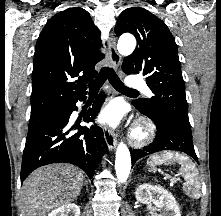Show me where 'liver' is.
Segmentation results:
<instances>
[{"instance_id": "1", "label": "liver", "mask_w": 221, "mask_h": 216, "mask_svg": "<svg viewBox=\"0 0 221 216\" xmlns=\"http://www.w3.org/2000/svg\"><path fill=\"white\" fill-rule=\"evenodd\" d=\"M84 184L82 172L69 164H51L33 171L22 186L24 216H45L74 202Z\"/></svg>"}]
</instances>
